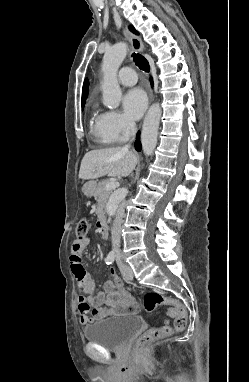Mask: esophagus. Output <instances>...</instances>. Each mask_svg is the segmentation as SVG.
Segmentation results:
<instances>
[{"label":"esophagus","mask_w":249,"mask_h":382,"mask_svg":"<svg viewBox=\"0 0 249 382\" xmlns=\"http://www.w3.org/2000/svg\"><path fill=\"white\" fill-rule=\"evenodd\" d=\"M123 34H124L125 38L130 42L131 47H132V49L134 51H136V52H144L145 49H144L143 42H142V40L138 36L132 34L127 29V27L123 28ZM154 72H155V68H154V66H152V73H154ZM152 99H153V95L151 93L150 101H152Z\"/></svg>","instance_id":"34e87169"}]
</instances>
